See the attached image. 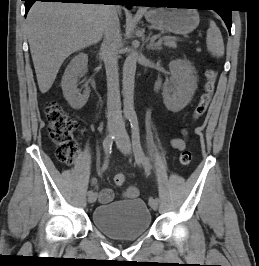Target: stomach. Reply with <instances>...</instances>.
Instances as JSON below:
<instances>
[{"label": "stomach", "mask_w": 259, "mask_h": 266, "mask_svg": "<svg viewBox=\"0 0 259 266\" xmlns=\"http://www.w3.org/2000/svg\"><path fill=\"white\" fill-rule=\"evenodd\" d=\"M175 7H183L180 3ZM169 7V6H168ZM148 22L174 34L191 33L199 25V14L195 9L188 8H156L145 13Z\"/></svg>", "instance_id": "obj_1"}]
</instances>
